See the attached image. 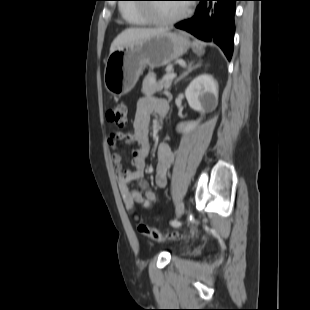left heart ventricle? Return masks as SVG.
Here are the masks:
<instances>
[{
    "instance_id": "obj_1",
    "label": "left heart ventricle",
    "mask_w": 310,
    "mask_h": 310,
    "mask_svg": "<svg viewBox=\"0 0 310 310\" xmlns=\"http://www.w3.org/2000/svg\"><path fill=\"white\" fill-rule=\"evenodd\" d=\"M182 10L180 5L176 4H160L154 8L158 17H170L178 14Z\"/></svg>"
}]
</instances>
